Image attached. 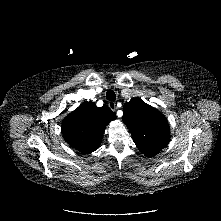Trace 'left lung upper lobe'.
<instances>
[{"label":"left lung upper lobe","instance_id":"1","mask_svg":"<svg viewBox=\"0 0 221 221\" xmlns=\"http://www.w3.org/2000/svg\"><path fill=\"white\" fill-rule=\"evenodd\" d=\"M122 118L135 145L146 156H155L169 143L170 128L166 117L141 99L126 102Z\"/></svg>","mask_w":221,"mask_h":221}]
</instances>
